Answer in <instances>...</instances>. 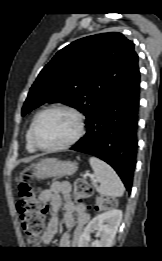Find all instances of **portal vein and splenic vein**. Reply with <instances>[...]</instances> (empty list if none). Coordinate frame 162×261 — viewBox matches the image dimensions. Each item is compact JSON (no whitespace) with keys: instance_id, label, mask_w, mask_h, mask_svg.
<instances>
[{"instance_id":"18ae733b","label":"portal vein and splenic vein","mask_w":162,"mask_h":261,"mask_svg":"<svg viewBox=\"0 0 162 261\" xmlns=\"http://www.w3.org/2000/svg\"><path fill=\"white\" fill-rule=\"evenodd\" d=\"M91 178L93 179V182L96 183V181L94 180V176L93 175H91Z\"/></svg>"}]
</instances>
